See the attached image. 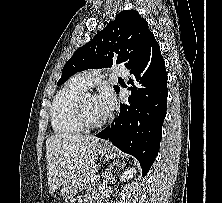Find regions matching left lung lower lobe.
Wrapping results in <instances>:
<instances>
[{"instance_id": "obj_1", "label": "left lung lower lobe", "mask_w": 222, "mask_h": 203, "mask_svg": "<svg viewBox=\"0 0 222 203\" xmlns=\"http://www.w3.org/2000/svg\"><path fill=\"white\" fill-rule=\"evenodd\" d=\"M129 70L134 79L128 81V90L132 91L128 102L120 104L118 118L96 137L133 155L145 175L159 151L167 108L165 62L152 32L142 55Z\"/></svg>"}]
</instances>
